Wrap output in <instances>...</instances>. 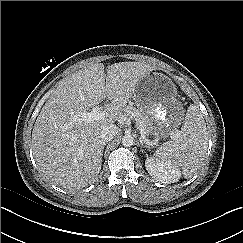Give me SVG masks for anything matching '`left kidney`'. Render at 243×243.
Masks as SVG:
<instances>
[{
  "label": "left kidney",
  "mask_w": 243,
  "mask_h": 243,
  "mask_svg": "<svg viewBox=\"0 0 243 243\" xmlns=\"http://www.w3.org/2000/svg\"><path fill=\"white\" fill-rule=\"evenodd\" d=\"M145 167L148 173L161 183H175L181 177V172L176 166L164 164L154 158H148L145 162Z\"/></svg>",
  "instance_id": "left-kidney-1"
}]
</instances>
